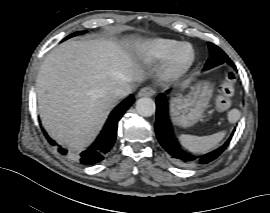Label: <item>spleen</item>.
Here are the masks:
<instances>
[{
	"label": "spleen",
	"mask_w": 270,
	"mask_h": 213,
	"mask_svg": "<svg viewBox=\"0 0 270 213\" xmlns=\"http://www.w3.org/2000/svg\"><path fill=\"white\" fill-rule=\"evenodd\" d=\"M225 136V131H220L208 136H193L181 134V144L188 150L196 153H204L215 147Z\"/></svg>",
	"instance_id": "obj_1"
}]
</instances>
